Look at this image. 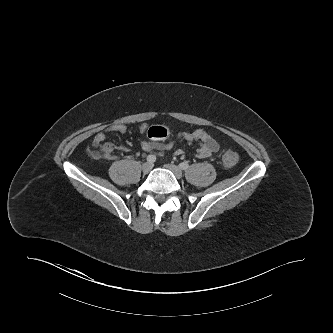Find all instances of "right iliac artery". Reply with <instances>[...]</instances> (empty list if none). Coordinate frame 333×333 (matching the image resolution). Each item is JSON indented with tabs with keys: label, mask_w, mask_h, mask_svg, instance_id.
I'll return each instance as SVG.
<instances>
[{
	"label": "right iliac artery",
	"mask_w": 333,
	"mask_h": 333,
	"mask_svg": "<svg viewBox=\"0 0 333 333\" xmlns=\"http://www.w3.org/2000/svg\"><path fill=\"white\" fill-rule=\"evenodd\" d=\"M147 161L150 163H154L156 161V157L154 155H148Z\"/></svg>",
	"instance_id": "82829eb1"
}]
</instances>
